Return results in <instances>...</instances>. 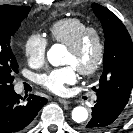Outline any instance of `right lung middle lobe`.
<instances>
[{
  "mask_svg": "<svg viewBox=\"0 0 133 133\" xmlns=\"http://www.w3.org/2000/svg\"><path fill=\"white\" fill-rule=\"evenodd\" d=\"M29 11L30 7L25 6H0V96L14 90L12 82L18 63L11 50V38Z\"/></svg>",
  "mask_w": 133,
  "mask_h": 133,
  "instance_id": "right-lung-middle-lobe-1",
  "label": "right lung middle lobe"
}]
</instances>
